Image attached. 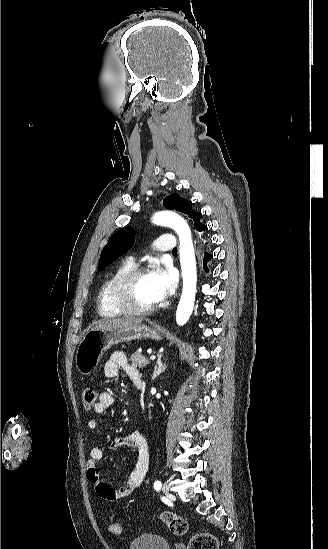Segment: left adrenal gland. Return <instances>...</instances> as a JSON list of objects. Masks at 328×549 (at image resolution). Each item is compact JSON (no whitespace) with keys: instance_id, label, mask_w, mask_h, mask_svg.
I'll list each match as a JSON object with an SVG mask.
<instances>
[{"instance_id":"a2214340","label":"left adrenal gland","mask_w":328,"mask_h":549,"mask_svg":"<svg viewBox=\"0 0 328 549\" xmlns=\"http://www.w3.org/2000/svg\"><path fill=\"white\" fill-rule=\"evenodd\" d=\"M161 357H162V355H160L158 365H156V367H155V369H156L155 375H160V373H163V371H165V369H166V365H162V363H161Z\"/></svg>"}]
</instances>
